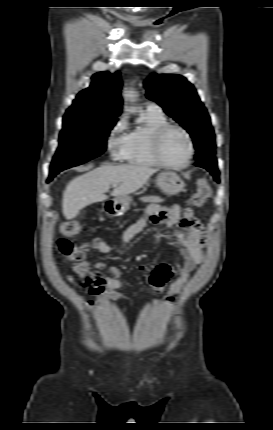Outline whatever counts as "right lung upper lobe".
I'll return each mask as SVG.
<instances>
[{
	"label": "right lung upper lobe",
	"instance_id": "right-lung-upper-lobe-1",
	"mask_svg": "<svg viewBox=\"0 0 273 430\" xmlns=\"http://www.w3.org/2000/svg\"><path fill=\"white\" fill-rule=\"evenodd\" d=\"M119 72H99L93 75L90 87L81 91L66 113L92 118H114L121 113Z\"/></svg>",
	"mask_w": 273,
	"mask_h": 430
}]
</instances>
